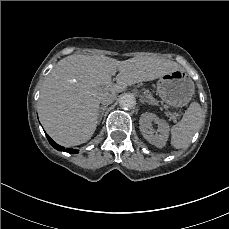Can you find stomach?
Here are the masks:
<instances>
[{
  "label": "stomach",
  "instance_id": "obj_1",
  "mask_svg": "<svg viewBox=\"0 0 229 229\" xmlns=\"http://www.w3.org/2000/svg\"><path fill=\"white\" fill-rule=\"evenodd\" d=\"M157 94L171 107H184L195 94V84L185 71L177 69L161 76Z\"/></svg>",
  "mask_w": 229,
  "mask_h": 229
}]
</instances>
